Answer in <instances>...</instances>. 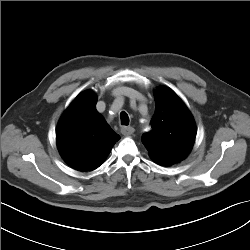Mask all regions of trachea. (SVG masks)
<instances>
[{"instance_id":"obj_1","label":"trachea","mask_w":250,"mask_h":250,"mask_svg":"<svg viewBox=\"0 0 250 250\" xmlns=\"http://www.w3.org/2000/svg\"><path fill=\"white\" fill-rule=\"evenodd\" d=\"M120 119H121V124L122 125H128L129 124V117L126 112H121L120 113Z\"/></svg>"}]
</instances>
